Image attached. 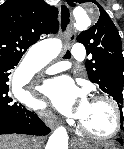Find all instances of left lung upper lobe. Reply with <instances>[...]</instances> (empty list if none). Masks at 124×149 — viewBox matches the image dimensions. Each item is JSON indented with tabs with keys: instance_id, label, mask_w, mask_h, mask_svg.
I'll return each mask as SVG.
<instances>
[{
	"instance_id": "1",
	"label": "left lung upper lobe",
	"mask_w": 124,
	"mask_h": 149,
	"mask_svg": "<svg viewBox=\"0 0 124 149\" xmlns=\"http://www.w3.org/2000/svg\"><path fill=\"white\" fill-rule=\"evenodd\" d=\"M67 2L75 6L73 2L86 1L67 0ZM91 2L99 7V20L90 29L83 31L77 37V41L86 47L87 54L92 55L86 62L90 81L112 96L122 113L124 76L121 38L106 11L96 1ZM121 129L124 130L122 120Z\"/></svg>"
}]
</instances>
